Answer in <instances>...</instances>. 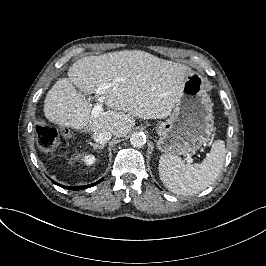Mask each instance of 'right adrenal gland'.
<instances>
[{
	"mask_svg": "<svg viewBox=\"0 0 266 266\" xmlns=\"http://www.w3.org/2000/svg\"><path fill=\"white\" fill-rule=\"evenodd\" d=\"M88 144L92 146V148H93V150H95V152H98L97 149H103L105 147L104 145H98L96 143H91V142H89Z\"/></svg>",
	"mask_w": 266,
	"mask_h": 266,
	"instance_id": "2a0ac1e0",
	"label": "right adrenal gland"
}]
</instances>
